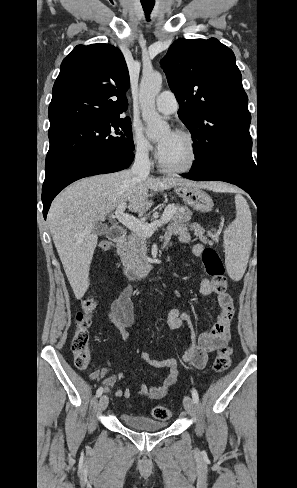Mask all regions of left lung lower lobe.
Here are the masks:
<instances>
[{"label": "left lung lower lobe", "mask_w": 297, "mask_h": 488, "mask_svg": "<svg viewBox=\"0 0 297 488\" xmlns=\"http://www.w3.org/2000/svg\"><path fill=\"white\" fill-rule=\"evenodd\" d=\"M181 176L196 181H224L232 183L249 193L257 203L258 182L255 172L234 163H215L199 169H191Z\"/></svg>", "instance_id": "0a47b994"}]
</instances>
